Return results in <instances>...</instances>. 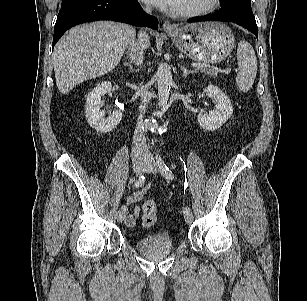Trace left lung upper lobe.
I'll return each mask as SVG.
<instances>
[{"instance_id":"1","label":"left lung upper lobe","mask_w":307,"mask_h":301,"mask_svg":"<svg viewBox=\"0 0 307 301\" xmlns=\"http://www.w3.org/2000/svg\"><path fill=\"white\" fill-rule=\"evenodd\" d=\"M219 12L227 11H251V0H220Z\"/></svg>"}]
</instances>
